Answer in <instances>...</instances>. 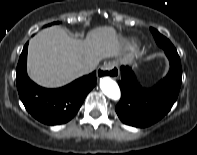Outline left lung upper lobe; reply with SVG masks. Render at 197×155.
I'll use <instances>...</instances> for the list:
<instances>
[{
    "instance_id": "5c2ea615",
    "label": "left lung upper lobe",
    "mask_w": 197,
    "mask_h": 155,
    "mask_svg": "<svg viewBox=\"0 0 197 155\" xmlns=\"http://www.w3.org/2000/svg\"><path fill=\"white\" fill-rule=\"evenodd\" d=\"M156 43L159 47H161L164 50H176L173 44L162 34H160L156 29L150 28Z\"/></svg>"
}]
</instances>
